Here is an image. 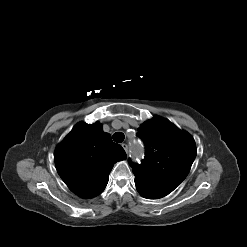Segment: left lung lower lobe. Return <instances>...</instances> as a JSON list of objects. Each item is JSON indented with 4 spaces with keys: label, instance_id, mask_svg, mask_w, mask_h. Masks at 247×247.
Here are the masks:
<instances>
[{
    "label": "left lung lower lobe",
    "instance_id": "left-lung-lower-lobe-1",
    "mask_svg": "<svg viewBox=\"0 0 247 247\" xmlns=\"http://www.w3.org/2000/svg\"><path fill=\"white\" fill-rule=\"evenodd\" d=\"M138 192L144 197V198H147V199H154L150 196H147L146 194L142 193L141 191L138 190Z\"/></svg>",
    "mask_w": 247,
    "mask_h": 247
}]
</instances>
